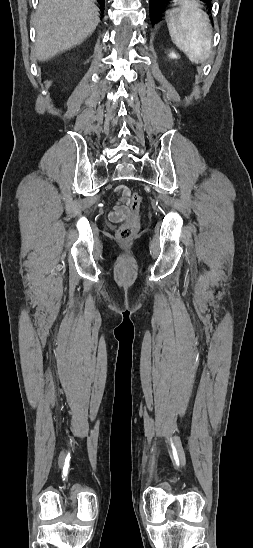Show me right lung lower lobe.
Instances as JSON below:
<instances>
[{"mask_svg": "<svg viewBox=\"0 0 253 548\" xmlns=\"http://www.w3.org/2000/svg\"><path fill=\"white\" fill-rule=\"evenodd\" d=\"M97 1L100 3V6L102 7V9H104L105 0H97Z\"/></svg>", "mask_w": 253, "mask_h": 548, "instance_id": "obj_1", "label": "right lung lower lobe"}]
</instances>
